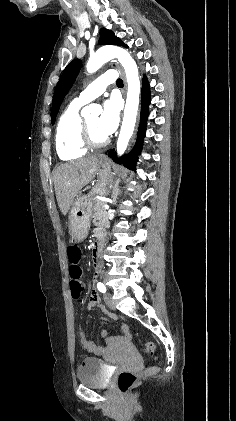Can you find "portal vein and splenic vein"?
<instances>
[{"label": "portal vein and splenic vein", "mask_w": 236, "mask_h": 421, "mask_svg": "<svg viewBox=\"0 0 236 421\" xmlns=\"http://www.w3.org/2000/svg\"><path fill=\"white\" fill-rule=\"evenodd\" d=\"M105 208H109V205L108 204H105Z\"/></svg>", "instance_id": "obj_1"}]
</instances>
